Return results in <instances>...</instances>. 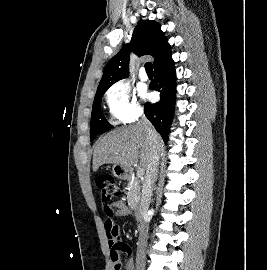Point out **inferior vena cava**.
<instances>
[{"instance_id": "1", "label": "inferior vena cava", "mask_w": 267, "mask_h": 270, "mask_svg": "<svg viewBox=\"0 0 267 270\" xmlns=\"http://www.w3.org/2000/svg\"><path fill=\"white\" fill-rule=\"evenodd\" d=\"M138 124L144 128L150 146V158L146 168L145 180L142 188V197L139 205V215H140V224H139V242L138 248L141 251L148 237L149 229V216L148 209L152 197L153 185L157 180L158 176V166L160 159V148L157 143L156 131L154 130L150 121L146 118L145 115H141ZM143 260V255L140 252L137 253V261L140 262Z\"/></svg>"}]
</instances>
